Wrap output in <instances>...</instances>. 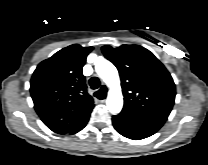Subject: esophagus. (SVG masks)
<instances>
[{"instance_id":"esophagus-1","label":"esophagus","mask_w":208,"mask_h":165,"mask_svg":"<svg viewBox=\"0 0 208 165\" xmlns=\"http://www.w3.org/2000/svg\"><path fill=\"white\" fill-rule=\"evenodd\" d=\"M103 88H105L106 89V87L105 86H103ZM106 99L104 98L103 100H100L101 102H104Z\"/></svg>"}]
</instances>
